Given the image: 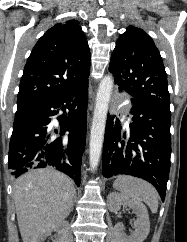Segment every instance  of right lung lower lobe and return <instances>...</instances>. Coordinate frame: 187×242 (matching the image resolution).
<instances>
[{
	"instance_id": "1",
	"label": "right lung lower lobe",
	"mask_w": 187,
	"mask_h": 242,
	"mask_svg": "<svg viewBox=\"0 0 187 242\" xmlns=\"http://www.w3.org/2000/svg\"><path fill=\"white\" fill-rule=\"evenodd\" d=\"M87 100L88 82L18 107L9 146L11 175L18 177L30 169L53 166L79 186ZM60 111L63 114L57 117L59 129L52 131L51 117Z\"/></svg>"
}]
</instances>
